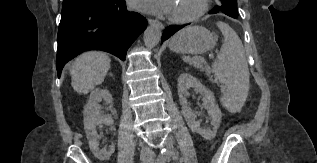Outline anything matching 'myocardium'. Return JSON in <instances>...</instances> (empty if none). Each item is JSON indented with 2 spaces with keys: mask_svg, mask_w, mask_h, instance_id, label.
<instances>
[{
  "mask_svg": "<svg viewBox=\"0 0 317 163\" xmlns=\"http://www.w3.org/2000/svg\"><path fill=\"white\" fill-rule=\"evenodd\" d=\"M210 0H197L196 9L184 16L169 15L168 19L174 24H187L202 17L209 9Z\"/></svg>",
  "mask_w": 317,
  "mask_h": 163,
  "instance_id": "1",
  "label": "myocardium"
}]
</instances>
